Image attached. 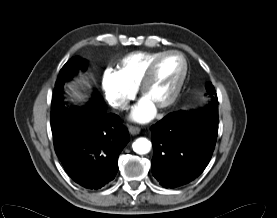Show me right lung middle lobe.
Listing matches in <instances>:
<instances>
[{
	"mask_svg": "<svg viewBox=\"0 0 277 218\" xmlns=\"http://www.w3.org/2000/svg\"><path fill=\"white\" fill-rule=\"evenodd\" d=\"M87 61L80 60L77 57L70 59L60 70L58 79L63 78L65 81L71 79V77L77 73L79 69L86 70ZM57 79V80H58ZM96 97H99L96 95ZM96 114H100L105 111L103 104L98 103ZM78 109L68 108L65 106L63 101L52 100V111H51V129L53 136H57L66 130L68 127L76 125L74 119Z\"/></svg>",
	"mask_w": 277,
	"mask_h": 218,
	"instance_id": "1",
	"label": "right lung middle lobe"
}]
</instances>
